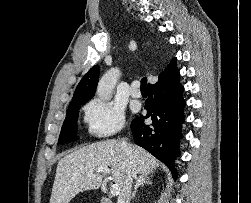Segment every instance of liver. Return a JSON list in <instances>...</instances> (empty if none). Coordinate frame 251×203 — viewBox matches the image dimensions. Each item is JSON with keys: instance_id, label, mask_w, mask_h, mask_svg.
<instances>
[{"instance_id": "liver-1", "label": "liver", "mask_w": 251, "mask_h": 203, "mask_svg": "<svg viewBox=\"0 0 251 203\" xmlns=\"http://www.w3.org/2000/svg\"><path fill=\"white\" fill-rule=\"evenodd\" d=\"M129 156L118 140H106L85 146L59 160L50 203H69L78 193L100 188L103 176L99 167H110L112 179L120 188L129 172L146 174L159 166L151 154L139 146L129 145Z\"/></svg>"}]
</instances>
